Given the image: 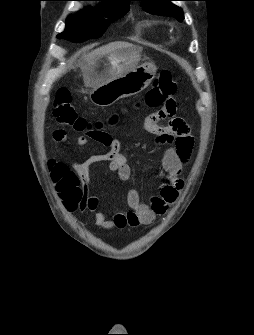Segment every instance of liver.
I'll list each match as a JSON object with an SVG mask.
<instances>
[{
	"label": "liver",
	"instance_id": "6515ba94",
	"mask_svg": "<svg viewBox=\"0 0 254 335\" xmlns=\"http://www.w3.org/2000/svg\"><path fill=\"white\" fill-rule=\"evenodd\" d=\"M127 46H132V45L125 43V42H112V43L99 47L91 51L90 53L86 54L84 57L86 64L82 67L85 83H86V77H87L88 71L96 63L97 60H99L100 58L106 55H109L115 52L119 48L127 47ZM86 85L88 86L87 83Z\"/></svg>",
	"mask_w": 254,
	"mask_h": 335
}]
</instances>
